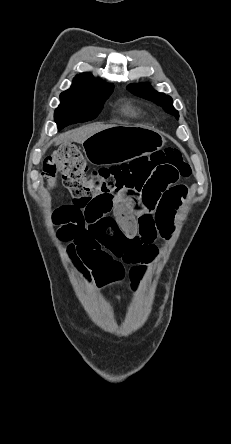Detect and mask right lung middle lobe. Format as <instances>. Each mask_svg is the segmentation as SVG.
Segmentation results:
<instances>
[{
    "label": "right lung middle lobe",
    "instance_id": "1",
    "mask_svg": "<svg viewBox=\"0 0 231 444\" xmlns=\"http://www.w3.org/2000/svg\"><path fill=\"white\" fill-rule=\"evenodd\" d=\"M113 87L98 93L63 92L54 119L58 130L78 122L93 120L99 114L102 104L112 93Z\"/></svg>",
    "mask_w": 231,
    "mask_h": 444
}]
</instances>
